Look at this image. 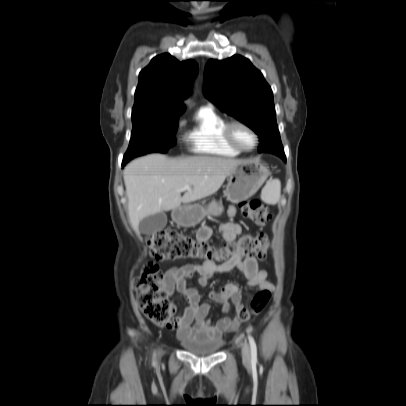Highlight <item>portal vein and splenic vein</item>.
Segmentation results:
<instances>
[{
	"label": "portal vein and splenic vein",
	"instance_id": "1",
	"mask_svg": "<svg viewBox=\"0 0 406 406\" xmlns=\"http://www.w3.org/2000/svg\"><path fill=\"white\" fill-rule=\"evenodd\" d=\"M186 190H190V186H189V185H185V186L182 188V191H186Z\"/></svg>",
	"mask_w": 406,
	"mask_h": 406
}]
</instances>
